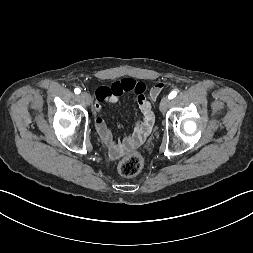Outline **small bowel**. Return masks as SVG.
I'll use <instances>...</instances> for the list:
<instances>
[{
  "label": "small bowel",
  "instance_id": "1",
  "mask_svg": "<svg viewBox=\"0 0 253 253\" xmlns=\"http://www.w3.org/2000/svg\"><path fill=\"white\" fill-rule=\"evenodd\" d=\"M163 87V83H156L153 85L150 92L151 97H156ZM130 91H133L136 95L140 116L130 135L124 138H115L101 114L102 107L100 103H115L118 101L121 94ZM94 110L97 113L95 117L96 129L102 141L109 148V153L112 158H119L142 144L149 136L154 124V114L151 109V103L145 95V85L131 78L121 79L112 86L99 87L96 91Z\"/></svg>",
  "mask_w": 253,
  "mask_h": 253
}]
</instances>
